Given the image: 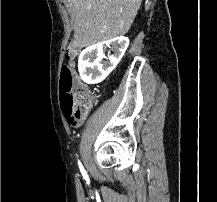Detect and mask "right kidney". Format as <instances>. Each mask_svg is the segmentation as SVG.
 <instances>
[{
  "label": "right kidney",
  "instance_id": "right-kidney-1",
  "mask_svg": "<svg viewBox=\"0 0 217 202\" xmlns=\"http://www.w3.org/2000/svg\"><path fill=\"white\" fill-rule=\"evenodd\" d=\"M129 46L128 38H113L107 42H99L94 46H89L83 50L79 56L78 68L83 82L86 84H99L107 78L108 74L116 68L122 56H124ZM109 48V52H114L112 56H105ZM105 58L106 62H102Z\"/></svg>",
  "mask_w": 217,
  "mask_h": 202
}]
</instances>
